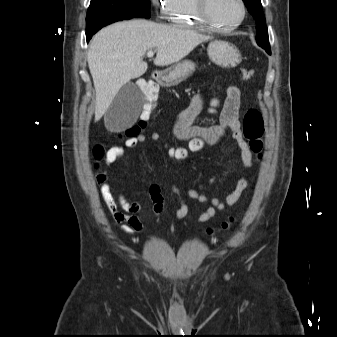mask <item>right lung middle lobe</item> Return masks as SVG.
<instances>
[{"label":"right lung middle lobe","instance_id":"obj_1","mask_svg":"<svg viewBox=\"0 0 337 337\" xmlns=\"http://www.w3.org/2000/svg\"><path fill=\"white\" fill-rule=\"evenodd\" d=\"M111 15L149 18L150 0H91L86 24Z\"/></svg>","mask_w":337,"mask_h":337}]
</instances>
